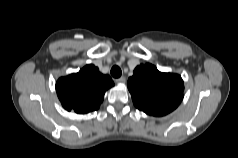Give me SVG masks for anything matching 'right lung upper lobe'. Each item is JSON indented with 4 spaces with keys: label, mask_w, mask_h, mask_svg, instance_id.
<instances>
[{
    "label": "right lung upper lobe",
    "mask_w": 238,
    "mask_h": 158,
    "mask_svg": "<svg viewBox=\"0 0 238 158\" xmlns=\"http://www.w3.org/2000/svg\"><path fill=\"white\" fill-rule=\"evenodd\" d=\"M113 85L110 76L101 74L97 67L88 64L78 73L59 78L56 91L67 111L85 114L99 108L105 92Z\"/></svg>",
    "instance_id": "obj_1"
}]
</instances>
